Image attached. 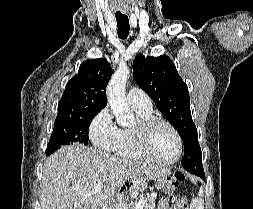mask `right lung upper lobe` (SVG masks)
I'll list each match as a JSON object with an SVG mask.
<instances>
[{
  "label": "right lung upper lobe",
  "instance_id": "cb5924a9",
  "mask_svg": "<svg viewBox=\"0 0 253 209\" xmlns=\"http://www.w3.org/2000/svg\"><path fill=\"white\" fill-rule=\"evenodd\" d=\"M112 73L105 58L84 61L66 84L55 121L101 111L107 105L106 87Z\"/></svg>",
  "mask_w": 253,
  "mask_h": 209
}]
</instances>
